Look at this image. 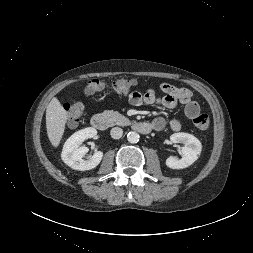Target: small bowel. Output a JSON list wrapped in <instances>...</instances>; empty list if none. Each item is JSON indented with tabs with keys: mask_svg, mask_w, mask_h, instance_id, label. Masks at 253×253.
Wrapping results in <instances>:
<instances>
[{
	"mask_svg": "<svg viewBox=\"0 0 253 253\" xmlns=\"http://www.w3.org/2000/svg\"><path fill=\"white\" fill-rule=\"evenodd\" d=\"M163 96H157L154 89H149L145 93L134 91L130 94L129 100L133 105L139 106L143 103L150 105H162L165 108L173 109L178 104L184 106V112L187 118L194 119L200 112L199 104L193 100L192 92L186 88L176 87L174 85L163 83L160 85ZM155 130H160L165 126V120L162 117L155 118L152 123ZM170 128L173 131H179L182 128V122L179 119L170 121Z\"/></svg>",
	"mask_w": 253,
	"mask_h": 253,
	"instance_id": "c3829d8e",
	"label": "small bowel"
}]
</instances>
